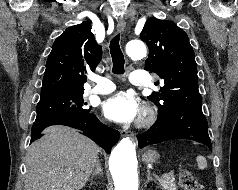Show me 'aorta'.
Masks as SVG:
<instances>
[{
  "label": "aorta",
  "mask_w": 238,
  "mask_h": 190,
  "mask_svg": "<svg viewBox=\"0 0 238 190\" xmlns=\"http://www.w3.org/2000/svg\"><path fill=\"white\" fill-rule=\"evenodd\" d=\"M126 52L133 60L146 57V46L141 40H131ZM109 168L115 190H138L137 158L135 144L129 138L122 139L112 150Z\"/></svg>",
  "instance_id": "762f6f07"
}]
</instances>
